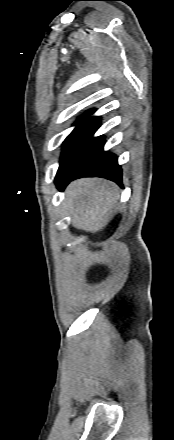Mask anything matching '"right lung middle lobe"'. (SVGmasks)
<instances>
[{
	"label": "right lung middle lobe",
	"instance_id": "obj_1",
	"mask_svg": "<svg viewBox=\"0 0 174 440\" xmlns=\"http://www.w3.org/2000/svg\"><path fill=\"white\" fill-rule=\"evenodd\" d=\"M95 112L88 111L76 123L78 125L63 143V153L60 167L56 175V182L69 175L80 162L86 151L88 142L95 131L96 117H89Z\"/></svg>",
	"mask_w": 174,
	"mask_h": 440
}]
</instances>
